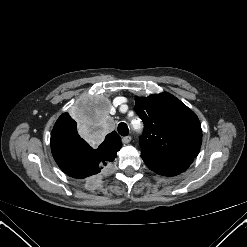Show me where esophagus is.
<instances>
[{
    "mask_svg": "<svg viewBox=\"0 0 247 247\" xmlns=\"http://www.w3.org/2000/svg\"><path fill=\"white\" fill-rule=\"evenodd\" d=\"M131 139H132L131 136H125L122 138V142L124 144H128L131 141Z\"/></svg>",
    "mask_w": 247,
    "mask_h": 247,
    "instance_id": "34e87169",
    "label": "esophagus"
}]
</instances>
